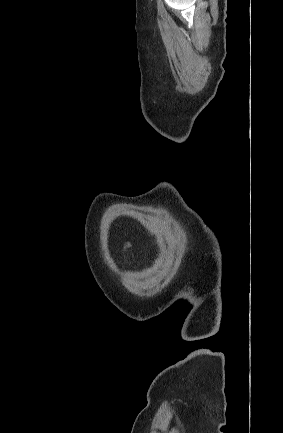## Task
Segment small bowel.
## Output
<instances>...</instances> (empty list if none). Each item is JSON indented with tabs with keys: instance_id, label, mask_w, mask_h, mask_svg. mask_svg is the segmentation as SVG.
Masks as SVG:
<instances>
[{
	"instance_id": "obj_1",
	"label": "small bowel",
	"mask_w": 283,
	"mask_h": 433,
	"mask_svg": "<svg viewBox=\"0 0 283 433\" xmlns=\"http://www.w3.org/2000/svg\"><path fill=\"white\" fill-rule=\"evenodd\" d=\"M128 246H129V245H125L124 250H126Z\"/></svg>"
}]
</instances>
